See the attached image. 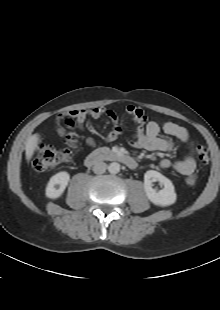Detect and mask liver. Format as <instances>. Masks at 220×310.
Masks as SVG:
<instances>
[{
  "mask_svg": "<svg viewBox=\"0 0 220 310\" xmlns=\"http://www.w3.org/2000/svg\"><path fill=\"white\" fill-rule=\"evenodd\" d=\"M39 142H40V135L37 133L33 134L28 138L25 146V154L27 161H30V159L33 157L35 150L38 148Z\"/></svg>",
  "mask_w": 220,
  "mask_h": 310,
  "instance_id": "1",
  "label": "liver"
}]
</instances>
